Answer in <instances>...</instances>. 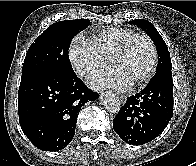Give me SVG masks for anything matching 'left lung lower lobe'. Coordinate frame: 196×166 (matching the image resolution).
Wrapping results in <instances>:
<instances>
[{
    "instance_id": "0a47b994",
    "label": "left lung lower lobe",
    "mask_w": 196,
    "mask_h": 166,
    "mask_svg": "<svg viewBox=\"0 0 196 166\" xmlns=\"http://www.w3.org/2000/svg\"><path fill=\"white\" fill-rule=\"evenodd\" d=\"M172 71L153 76L139 93L128 97L113 120L119 137L132 145H142L155 139L173 115Z\"/></svg>"
}]
</instances>
